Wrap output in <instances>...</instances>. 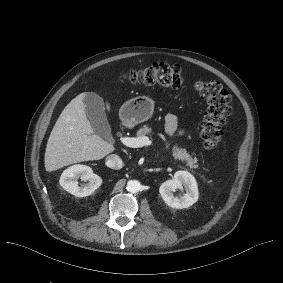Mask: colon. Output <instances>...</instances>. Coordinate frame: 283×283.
Here are the masks:
<instances>
[{
	"label": "colon",
	"mask_w": 283,
	"mask_h": 283,
	"mask_svg": "<svg viewBox=\"0 0 283 283\" xmlns=\"http://www.w3.org/2000/svg\"><path fill=\"white\" fill-rule=\"evenodd\" d=\"M127 82L137 85L179 88L183 84L181 70L177 65L154 63L147 68L131 70L123 75ZM195 89L206 101V111L200 127V137L207 149H218L230 108V93L213 79H202Z\"/></svg>",
	"instance_id": "obj_1"
}]
</instances>
